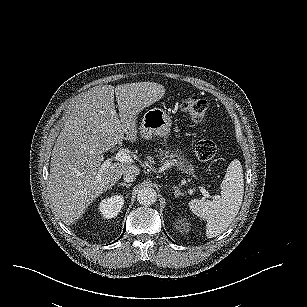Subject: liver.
I'll use <instances>...</instances> for the list:
<instances>
[{
  "instance_id": "1",
  "label": "liver",
  "mask_w": 307,
  "mask_h": 307,
  "mask_svg": "<svg viewBox=\"0 0 307 307\" xmlns=\"http://www.w3.org/2000/svg\"><path fill=\"white\" fill-rule=\"evenodd\" d=\"M164 94L163 85L148 81L95 86L79 96L53 147L48 177L52 210L65 224H74L127 171L140 174L134 163L101 169L102 154L124 139L136 142L137 115Z\"/></svg>"
}]
</instances>
